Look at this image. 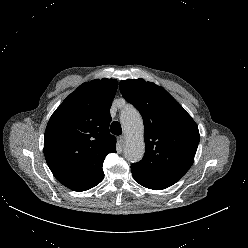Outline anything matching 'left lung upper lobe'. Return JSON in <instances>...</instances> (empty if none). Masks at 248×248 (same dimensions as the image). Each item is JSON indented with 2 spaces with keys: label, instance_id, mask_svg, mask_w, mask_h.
<instances>
[{
  "label": "left lung upper lobe",
  "instance_id": "left-lung-upper-lobe-1",
  "mask_svg": "<svg viewBox=\"0 0 248 248\" xmlns=\"http://www.w3.org/2000/svg\"><path fill=\"white\" fill-rule=\"evenodd\" d=\"M123 97L141 113L145 154L131 165L142 186L165 189L189 170L200 140L198 126L181 105L162 87L143 79L120 82Z\"/></svg>",
  "mask_w": 248,
  "mask_h": 248
}]
</instances>
